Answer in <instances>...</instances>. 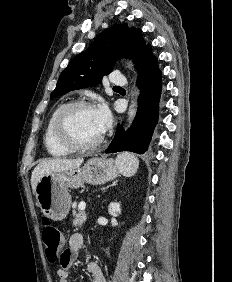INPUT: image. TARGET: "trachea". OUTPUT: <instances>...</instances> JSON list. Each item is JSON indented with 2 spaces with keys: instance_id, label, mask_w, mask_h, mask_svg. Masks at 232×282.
Segmentation results:
<instances>
[{
  "instance_id": "3493384b",
  "label": "trachea",
  "mask_w": 232,
  "mask_h": 282,
  "mask_svg": "<svg viewBox=\"0 0 232 282\" xmlns=\"http://www.w3.org/2000/svg\"><path fill=\"white\" fill-rule=\"evenodd\" d=\"M114 88H120V87H118V86H115Z\"/></svg>"
}]
</instances>
